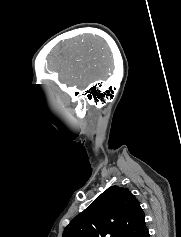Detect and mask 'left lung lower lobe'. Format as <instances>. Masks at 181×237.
Returning <instances> with one entry per match:
<instances>
[{
	"label": "left lung lower lobe",
	"instance_id": "0a47b994",
	"mask_svg": "<svg viewBox=\"0 0 181 237\" xmlns=\"http://www.w3.org/2000/svg\"><path fill=\"white\" fill-rule=\"evenodd\" d=\"M150 235H149V231H148V229H146L143 233H141L140 235H139V237H149Z\"/></svg>",
	"mask_w": 181,
	"mask_h": 237
}]
</instances>
